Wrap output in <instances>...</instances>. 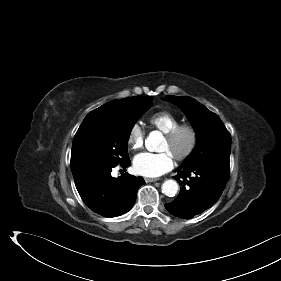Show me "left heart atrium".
Returning a JSON list of instances; mask_svg holds the SVG:
<instances>
[{
    "mask_svg": "<svg viewBox=\"0 0 281 281\" xmlns=\"http://www.w3.org/2000/svg\"><path fill=\"white\" fill-rule=\"evenodd\" d=\"M173 166V155L169 151L161 153L143 152L136 155L133 160L135 172L145 177H159L170 171Z\"/></svg>",
    "mask_w": 281,
    "mask_h": 281,
    "instance_id": "39dd6f15",
    "label": "left heart atrium"
}]
</instances>
